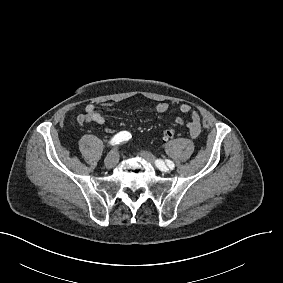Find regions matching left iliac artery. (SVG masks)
<instances>
[{
	"instance_id": "obj_1",
	"label": "left iliac artery",
	"mask_w": 283,
	"mask_h": 283,
	"mask_svg": "<svg viewBox=\"0 0 283 283\" xmlns=\"http://www.w3.org/2000/svg\"><path fill=\"white\" fill-rule=\"evenodd\" d=\"M166 163L171 169H173L175 167L174 163L170 160H166ZM160 165H161V162H158L157 166H160Z\"/></svg>"
}]
</instances>
